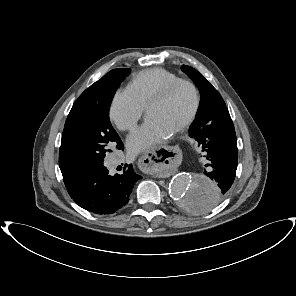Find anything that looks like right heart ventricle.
Wrapping results in <instances>:
<instances>
[{
  "label": "right heart ventricle",
  "mask_w": 296,
  "mask_h": 296,
  "mask_svg": "<svg viewBox=\"0 0 296 296\" xmlns=\"http://www.w3.org/2000/svg\"><path fill=\"white\" fill-rule=\"evenodd\" d=\"M179 80H181L179 76L168 70L162 68L147 69L132 78L126 91L143 107H146L151 98Z\"/></svg>",
  "instance_id": "1"
}]
</instances>
